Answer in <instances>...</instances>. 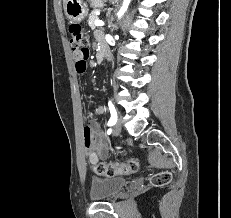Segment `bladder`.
Masks as SVG:
<instances>
[{
	"instance_id": "bladder-1",
	"label": "bladder",
	"mask_w": 231,
	"mask_h": 218,
	"mask_svg": "<svg viewBox=\"0 0 231 218\" xmlns=\"http://www.w3.org/2000/svg\"><path fill=\"white\" fill-rule=\"evenodd\" d=\"M127 184L123 177L99 178L91 180L90 198L94 201L110 199L116 196Z\"/></svg>"
}]
</instances>
